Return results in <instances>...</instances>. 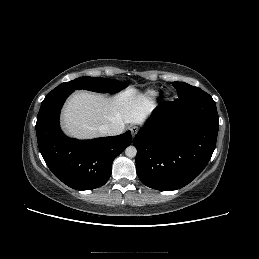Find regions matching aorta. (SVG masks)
Here are the masks:
<instances>
[{
  "label": "aorta",
  "instance_id": "762f6f07",
  "mask_svg": "<svg viewBox=\"0 0 259 259\" xmlns=\"http://www.w3.org/2000/svg\"><path fill=\"white\" fill-rule=\"evenodd\" d=\"M125 154H126V156L131 157V158L135 157L137 154V149L134 146H129L126 148Z\"/></svg>",
  "mask_w": 259,
  "mask_h": 259
}]
</instances>
